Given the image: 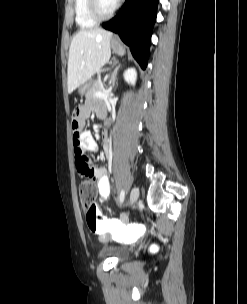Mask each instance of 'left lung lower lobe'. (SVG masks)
<instances>
[{
  "mask_svg": "<svg viewBox=\"0 0 247 304\" xmlns=\"http://www.w3.org/2000/svg\"><path fill=\"white\" fill-rule=\"evenodd\" d=\"M159 0H126L122 10L103 28L118 33L130 46L134 58L145 69L148 62L152 28Z\"/></svg>",
  "mask_w": 247,
  "mask_h": 304,
  "instance_id": "obj_1",
  "label": "left lung lower lobe"
}]
</instances>
